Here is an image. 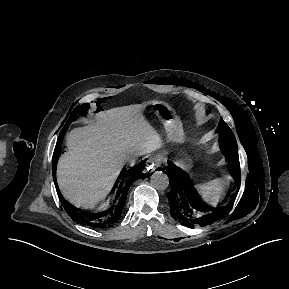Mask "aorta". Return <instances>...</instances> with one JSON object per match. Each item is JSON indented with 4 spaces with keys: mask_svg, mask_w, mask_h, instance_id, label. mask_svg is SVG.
Segmentation results:
<instances>
[{
    "mask_svg": "<svg viewBox=\"0 0 289 289\" xmlns=\"http://www.w3.org/2000/svg\"><path fill=\"white\" fill-rule=\"evenodd\" d=\"M151 186L157 190H164L169 185L168 176L162 171H156L150 178Z\"/></svg>",
    "mask_w": 289,
    "mask_h": 289,
    "instance_id": "aorta-1",
    "label": "aorta"
}]
</instances>
